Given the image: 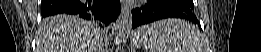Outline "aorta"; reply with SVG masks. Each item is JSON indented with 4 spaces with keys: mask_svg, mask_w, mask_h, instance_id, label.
Here are the masks:
<instances>
[{
    "mask_svg": "<svg viewBox=\"0 0 261 52\" xmlns=\"http://www.w3.org/2000/svg\"><path fill=\"white\" fill-rule=\"evenodd\" d=\"M132 21L129 18L122 17L118 19L112 28V38L116 44H120L131 29Z\"/></svg>",
    "mask_w": 261,
    "mask_h": 52,
    "instance_id": "1",
    "label": "aorta"
}]
</instances>
